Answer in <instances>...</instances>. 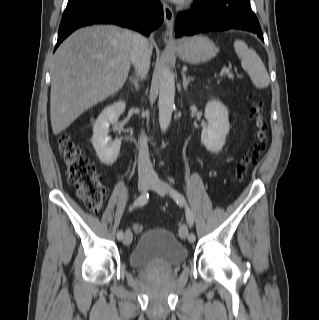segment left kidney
<instances>
[{
	"mask_svg": "<svg viewBox=\"0 0 319 320\" xmlns=\"http://www.w3.org/2000/svg\"><path fill=\"white\" fill-rule=\"evenodd\" d=\"M204 116L208 125L202 129L201 143L208 151L218 153L230 130L228 109L222 102L211 100L205 106Z\"/></svg>",
	"mask_w": 319,
	"mask_h": 320,
	"instance_id": "1",
	"label": "left kidney"
}]
</instances>
